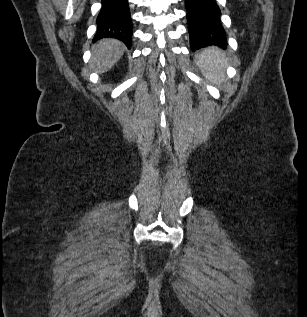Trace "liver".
<instances>
[{
    "label": "liver",
    "mask_w": 307,
    "mask_h": 317,
    "mask_svg": "<svg viewBox=\"0 0 307 317\" xmlns=\"http://www.w3.org/2000/svg\"><path fill=\"white\" fill-rule=\"evenodd\" d=\"M124 49V44L116 39L100 40L92 49L90 67L100 74L107 72L122 57Z\"/></svg>",
    "instance_id": "liver-1"
}]
</instances>
